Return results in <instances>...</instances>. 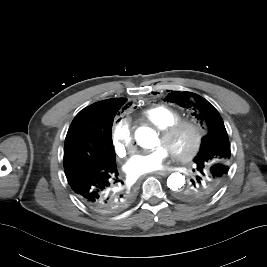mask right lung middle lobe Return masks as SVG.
<instances>
[{"label":"right lung middle lobe","mask_w":267,"mask_h":267,"mask_svg":"<svg viewBox=\"0 0 267 267\" xmlns=\"http://www.w3.org/2000/svg\"><path fill=\"white\" fill-rule=\"evenodd\" d=\"M119 109L109 113L107 123L113 124ZM116 163L115 152L109 134L102 140L84 126L74 125L68 130L64 144V171L69 176L87 167H104Z\"/></svg>","instance_id":"dd1d6c3e"}]
</instances>
